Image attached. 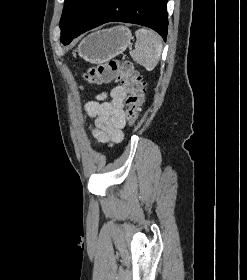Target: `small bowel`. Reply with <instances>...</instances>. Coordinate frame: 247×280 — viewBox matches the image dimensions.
Listing matches in <instances>:
<instances>
[{
	"label": "small bowel",
	"instance_id": "1",
	"mask_svg": "<svg viewBox=\"0 0 247 280\" xmlns=\"http://www.w3.org/2000/svg\"><path fill=\"white\" fill-rule=\"evenodd\" d=\"M126 92L122 86H117L111 91V101H105L104 95L98 101L86 104L89 116L95 119L92 133L101 143H119L123 140L122 129L125 125L123 100Z\"/></svg>",
	"mask_w": 247,
	"mask_h": 280
}]
</instances>
